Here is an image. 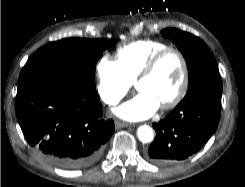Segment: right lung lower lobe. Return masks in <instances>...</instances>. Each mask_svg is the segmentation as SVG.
Returning a JSON list of instances; mask_svg holds the SVG:
<instances>
[{
	"mask_svg": "<svg viewBox=\"0 0 245 187\" xmlns=\"http://www.w3.org/2000/svg\"><path fill=\"white\" fill-rule=\"evenodd\" d=\"M95 89L42 76L19 83L16 116L28 143L47 162L76 170L96 162L115 130L100 117Z\"/></svg>",
	"mask_w": 245,
	"mask_h": 187,
	"instance_id": "right-lung-lower-lobe-1",
	"label": "right lung lower lobe"
}]
</instances>
